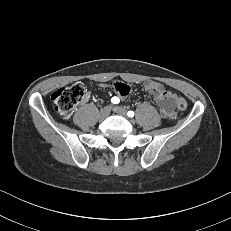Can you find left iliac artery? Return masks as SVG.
Listing matches in <instances>:
<instances>
[{
  "instance_id": "obj_1",
  "label": "left iliac artery",
  "mask_w": 231,
  "mask_h": 231,
  "mask_svg": "<svg viewBox=\"0 0 231 231\" xmlns=\"http://www.w3.org/2000/svg\"><path fill=\"white\" fill-rule=\"evenodd\" d=\"M127 114H128L129 117H133L134 116V112L133 111H128Z\"/></svg>"
}]
</instances>
